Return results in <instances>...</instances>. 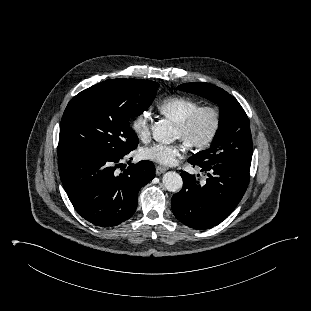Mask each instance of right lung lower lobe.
Returning <instances> with one entry per match:
<instances>
[{"label":"right lung lower lobe","mask_w":311,"mask_h":311,"mask_svg":"<svg viewBox=\"0 0 311 311\" xmlns=\"http://www.w3.org/2000/svg\"><path fill=\"white\" fill-rule=\"evenodd\" d=\"M121 159L87 154L58 157L60 178L72 205L96 226L113 227L129 219L137 207L138 191L155 177L154 164L147 160L118 175Z\"/></svg>","instance_id":"98d812e1"}]
</instances>
